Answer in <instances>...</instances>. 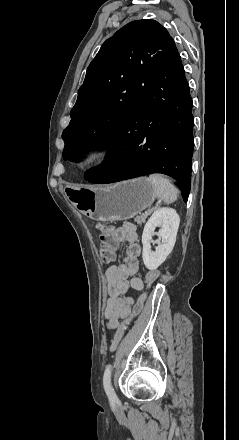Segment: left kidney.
I'll return each mask as SVG.
<instances>
[{
    "mask_svg": "<svg viewBox=\"0 0 239 440\" xmlns=\"http://www.w3.org/2000/svg\"><path fill=\"white\" fill-rule=\"evenodd\" d=\"M179 224L180 218L176 210H172V208H160L149 218L142 234V258L147 270H157L171 254L175 246ZM157 226H161L158 234L161 242H158L155 252H152L151 240Z\"/></svg>",
    "mask_w": 239,
    "mask_h": 440,
    "instance_id": "1",
    "label": "left kidney"
}]
</instances>
